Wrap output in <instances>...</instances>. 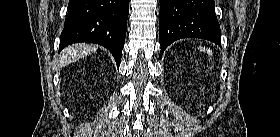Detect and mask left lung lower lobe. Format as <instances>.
Segmentation results:
<instances>
[{
	"instance_id": "1",
	"label": "left lung lower lobe",
	"mask_w": 280,
	"mask_h": 137,
	"mask_svg": "<svg viewBox=\"0 0 280 137\" xmlns=\"http://www.w3.org/2000/svg\"><path fill=\"white\" fill-rule=\"evenodd\" d=\"M160 46L181 38H201L221 44L214 0H160Z\"/></svg>"
}]
</instances>
